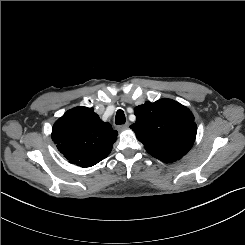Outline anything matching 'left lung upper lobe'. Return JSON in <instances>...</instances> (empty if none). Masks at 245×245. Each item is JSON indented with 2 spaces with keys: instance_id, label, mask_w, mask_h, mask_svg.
Here are the masks:
<instances>
[{
  "instance_id": "left-lung-upper-lobe-1",
  "label": "left lung upper lobe",
  "mask_w": 245,
  "mask_h": 245,
  "mask_svg": "<svg viewBox=\"0 0 245 245\" xmlns=\"http://www.w3.org/2000/svg\"><path fill=\"white\" fill-rule=\"evenodd\" d=\"M130 126L149 154L157 159H181L193 146L196 123L191 111L171 99L135 107Z\"/></svg>"
}]
</instances>
